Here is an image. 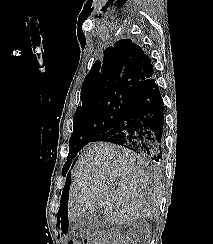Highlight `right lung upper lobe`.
I'll return each mask as SVG.
<instances>
[{
    "label": "right lung upper lobe",
    "mask_w": 213,
    "mask_h": 244,
    "mask_svg": "<svg viewBox=\"0 0 213 244\" xmlns=\"http://www.w3.org/2000/svg\"><path fill=\"white\" fill-rule=\"evenodd\" d=\"M153 75V65L143 49L130 39L119 40L104 51L103 63L95 62L85 77L81 89L82 106L108 95L134 97Z\"/></svg>",
    "instance_id": "right-lung-upper-lobe-1"
}]
</instances>
